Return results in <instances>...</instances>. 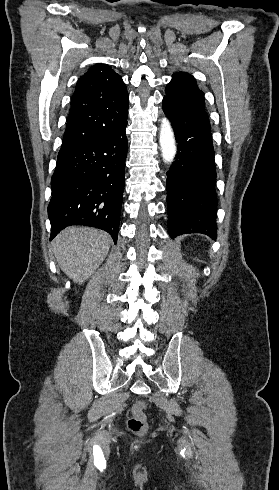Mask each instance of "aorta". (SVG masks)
<instances>
[{
  "instance_id": "762f6f07",
  "label": "aorta",
  "mask_w": 279,
  "mask_h": 490,
  "mask_svg": "<svg viewBox=\"0 0 279 490\" xmlns=\"http://www.w3.org/2000/svg\"><path fill=\"white\" fill-rule=\"evenodd\" d=\"M159 143L161 147L162 158L166 163H172L176 155V142L171 123L164 118L160 126Z\"/></svg>"
}]
</instances>
